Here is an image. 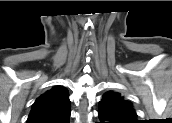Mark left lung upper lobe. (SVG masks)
<instances>
[{
  "instance_id": "1",
  "label": "left lung upper lobe",
  "mask_w": 172,
  "mask_h": 123,
  "mask_svg": "<svg viewBox=\"0 0 172 123\" xmlns=\"http://www.w3.org/2000/svg\"><path fill=\"white\" fill-rule=\"evenodd\" d=\"M99 119L110 123H137L136 113L129 101L121 97L120 93L107 92L99 104Z\"/></svg>"
}]
</instances>
